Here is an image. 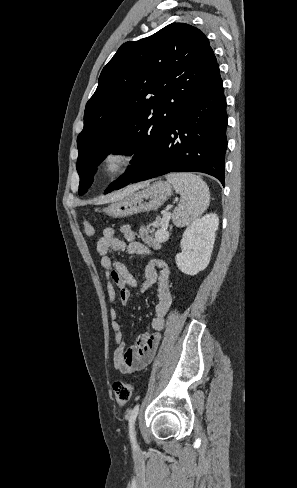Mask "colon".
Masks as SVG:
<instances>
[{
    "instance_id": "obj_1",
    "label": "colon",
    "mask_w": 297,
    "mask_h": 488,
    "mask_svg": "<svg viewBox=\"0 0 297 488\" xmlns=\"http://www.w3.org/2000/svg\"><path fill=\"white\" fill-rule=\"evenodd\" d=\"M84 230L87 236L91 237L94 235V227L90 223L84 225ZM113 391L117 403L126 405L133 395V386L128 382L118 381L114 383Z\"/></svg>"
}]
</instances>
